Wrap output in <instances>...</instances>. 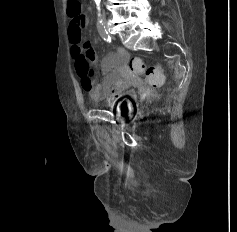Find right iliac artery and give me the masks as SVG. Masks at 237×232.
I'll return each instance as SVG.
<instances>
[{
    "label": "right iliac artery",
    "mask_w": 237,
    "mask_h": 232,
    "mask_svg": "<svg viewBox=\"0 0 237 232\" xmlns=\"http://www.w3.org/2000/svg\"><path fill=\"white\" fill-rule=\"evenodd\" d=\"M100 36L107 42H111V37L103 24L97 26Z\"/></svg>",
    "instance_id": "82829eb1"
}]
</instances>
